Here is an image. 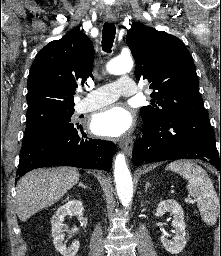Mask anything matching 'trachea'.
I'll use <instances>...</instances> for the list:
<instances>
[{
	"instance_id": "obj_1",
	"label": "trachea",
	"mask_w": 221,
	"mask_h": 256,
	"mask_svg": "<svg viewBox=\"0 0 221 256\" xmlns=\"http://www.w3.org/2000/svg\"><path fill=\"white\" fill-rule=\"evenodd\" d=\"M116 34L115 25L112 23H105L102 31V48L105 52L110 53L113 46Z\"/></svg>"
}]
</instances>
